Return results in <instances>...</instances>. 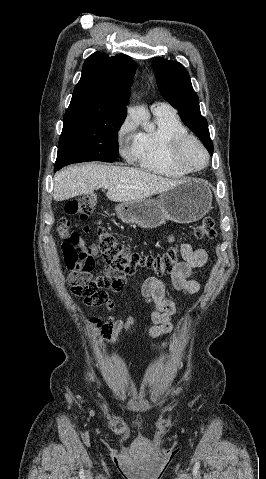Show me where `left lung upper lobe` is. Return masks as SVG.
Returning a JSON list of instances; mask_svg holds the SVG:
<instances>
[{
	"label": "left lung upper lobe",
	"instance_id": "1",
	"mask_svg": "<svg viewBox=\"0 0 266 479\" xmlns=\"http://www.w3.org/2000/svg\"><path fill=\"white\" fill-rule=\"evenodd\" d=\"M154 64L161 95L178 109L183 123L199 137L210 155H213L208 123L201 115L199 99L192 88L188 72L182 64L161 57L155 58Z\"/></svg>",
	"mask_w": 266,
	"mask_h": 479
}]
</instances>
